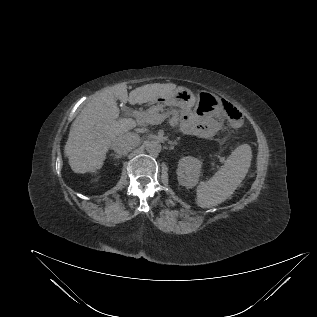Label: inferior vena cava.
<instances>
[{"instance_id":"obj_1","label":"inferior vena cava","mask_w":317,"mask_h":317,"mask_svg":"<svg viewBox=\"0 0 317 317\" xmlns=\"http://www.w3.org/2000/svg\"><path fill=\"white\" fill-rule=\"evenodd\" d=\"M140 138L135 133H126L112 142V149L119 155H126L139 144Z\"/></svg>"}]
</instances>
